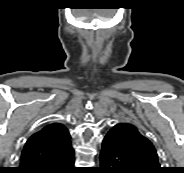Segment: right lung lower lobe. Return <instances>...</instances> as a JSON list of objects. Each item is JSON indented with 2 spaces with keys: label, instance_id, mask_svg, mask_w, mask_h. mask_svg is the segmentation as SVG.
<instances>
[{
  "label": "right lung lower lobe",
  "instance_id": "98d812e1",
  "mask_svg": "<svg viewBox=\"0 0 184 173\" xmlns=\"http://www.w3.org/2000/svg\"><path fill=\"white\" fill-rule=\"evenodd\" d=\"M74 150L57 158L19 167L17 173H79L74 167Z\"/></svg>",
  "mask_w": 184,
  "mask_h": 173
}]
</instances>
